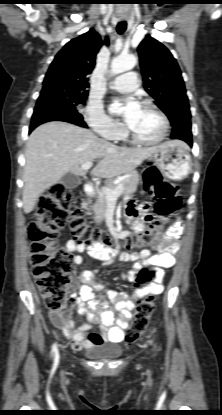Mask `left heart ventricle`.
I'll use <instances>...</instances> for the list:
<instances>
[{
    "instance_id": "1",
    "label": "left heart ventricle",
    "mask_w": 222,
    "mask_h": 415,
    "mask_svg": "<svg viewBox=\"0 0 222 415\" xmlns=\"http://www.w3.org/2000/svg\"><path fill=\"white\" fill-rule=\"evenodd\" d=\"M126 126L138 137L145 140H154L162 132L163 124L156 112L149 108L140 107L135 117L126 122Z\"/></svg>"
}]
</instances>
